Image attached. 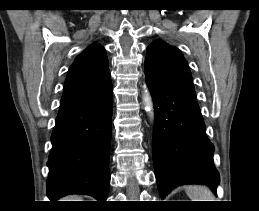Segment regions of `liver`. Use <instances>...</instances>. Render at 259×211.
Segmentation results:
<instances>
[{"instance_id": "liver-1", "label": "liver", "mask_w": 259, "mask_h": 211, "mask_svg": "<svg viewBox=\"0 0 259 211\" xmlns=\"http://www.w3.org/2000/svg\"><path fill=\"white\" fill-rule=\"evenodd\" d=\"M65 199H81V198L78 197V196H69V197H67ZM67 201H81V200H67Z\"/></svg>"}]
</instances>
